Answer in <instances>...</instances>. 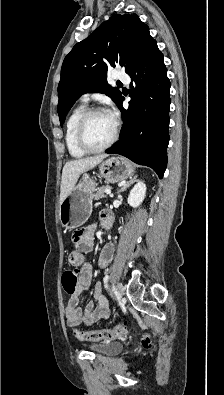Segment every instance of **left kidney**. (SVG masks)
I'll return each instance as SVG.
<instances>
[{
	"instance_id": "1",
	"label": "left kidney",
	"mask_w": 224,
	"mask_h": 395,
	"mask_svg": "<svg viewBox=\"0 0 224 395\" xmlns=\"http://www.w3.org/2000/svg\"><path fill=\"white\" fill-rule=\"evenodd\" d=\"M146 185L143 181H138L131 189L128 196V204L132 207H138L145 198Z\"/></svg>"
}]
</instances>
